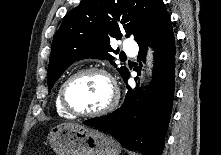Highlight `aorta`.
Returning <instances> with one entry per match:
<instances>
[{
    "instance_id": "obj_1",
    "label": "aorta",
    "mask_w": 221,
    "mask_h": 155,
    "mask_svg": "<svg viewBox=\"0 0 221 155\" xmlns=\"http://www.w3.org/2000/svg\"><path fill=\"white\" fill-rule=\"evenodd\" d=\"M151 62H152V57H151V55H149V57H148V65L149 66L151 65Z\"/></svg>"
}]
</instances>
